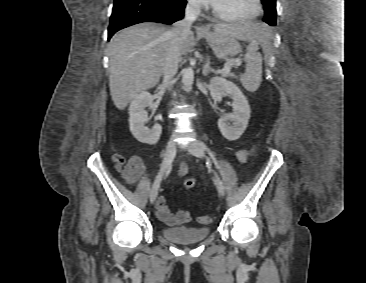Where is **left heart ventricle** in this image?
I'll list each match as a JSON object with an SVG mask.
<instances>
[{
	"instance_id": "obj_1",
	"label": "left heart ventricle",
	"mask_w": 366,
	"mask_h": 283,
	"mask_svg": "<svg viewBox=\"0 0 366 283\" xmlns=\"http://www.w3.org/2000/svg\"><path fill=\"white\" fill-rule=\"evenodd\" d=\"M216 9L230 16H246L255 9L254 0H217Z\"/></svg>"
}]
</instances>
